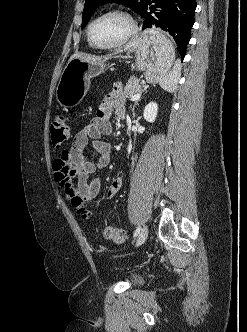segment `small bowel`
I'll return each instance as SVG.
<instances>
[{
	"label": "small bowel",
	"instance_id": "1",
	"mask_svg": "<svg viewBox=\"0 0 247 332\" xmlns=\"http://www.w3.org/2000/svg\"><path fill=\"white\" fill-rule=\"evenodd\" d=\"M119 119L126 117L124 96L120 88L110 92L100 104L95 117L73 139L72 147L59 153L53 163L54 179L63 189L81 218L89 220L94 213L87 207L100 191L101 182L97 172L110 162V144L105 136L112 132V113ZM91 140L90 150L97 159L85 155L84 150ZM123 185V178L115 177L106 190V198L112 199Z\"/></svg>",
	"mask_w": 247,
	"mask_h": 332
}]
</instances>
